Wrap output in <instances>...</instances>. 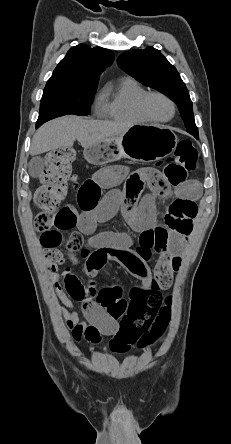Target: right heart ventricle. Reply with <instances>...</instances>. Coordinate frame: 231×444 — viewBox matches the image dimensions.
Returning a JSON list of instances; mask_svg holds the SVG:
<instances>
[{"mask_svg": "<svg viewBox=\"0 0 231 444\" xmlns=\"http://www.w3.org/2000/svg\"><path fill=\"white\" fill-rule=\"evenodd\" d=\"M146 92V89L135 79H123L117 89L105 98V109L101 115L119 123H147L148 120L138 111V102Z\"/></svg>", "mask_w": 231, "mask_h": 444, "instance_id": "1", "label": "right heart ventricle"}]
</instances>
